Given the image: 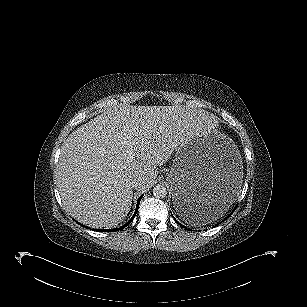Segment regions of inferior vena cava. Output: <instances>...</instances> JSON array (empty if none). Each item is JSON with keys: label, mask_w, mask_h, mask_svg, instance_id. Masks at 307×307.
Masks as SVG:
<instances>
[{"label": "inferior vena cava", "mask_w": 307, "mask_h": 307, "mask_svg": "<svg viewBox=\"0 0 307 307\" xmlns=\"http://www.w3.org/2000/svg\"><path fill=\"white\" fill-rule=\"evenodd\" d=\"M142 184V181L139 179H134L129 182V187L133 189H138Z\"/></svg>", "instance_id": "inferior-vena-cava-1"}]
</instances>
